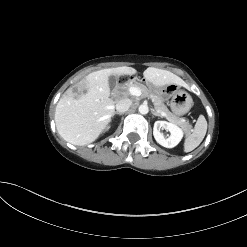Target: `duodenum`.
I'll use <instances>...</instances> for the list:
<instances>
[{"label":"duodenum","instance_id":"obj_1","mask_svg":"<svg viewBox=\"0 0 247 247\" xmlns=\"http://www.w3.org/2000/svg\"><path fill=\"white\" fill-rule=\"evenodd\" d=\"M130 81H133L135 84L142 85L144 84L145 87L146 85H149V80H145V78H137L136 76H131L129 78ZM148 88V87H147ZM150 90V89H149Z\"/></svg>","mask_w":247,"mask_h":247}]
</instances>
